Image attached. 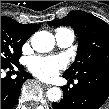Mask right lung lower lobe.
Instances as JSON below:
<instances>
[{
  "label": "right lung lower lobe",
  "instance_id": "98d812e1",
  "mask_svg": "<svg viewBox=\"0 0 109 109\" xmlns=\"http://www.w3.org/2000/svg\"><path fill=\"white\" fill-rule=\"evenodd\" d=\"M15 66L20 70L22 69L20 64ZM1 69L11 70L13 66L1 67ZM29 78H32V76L25 71L17 73L15 79L10 77L1 78V109H12L14 107L20 95L22 83Z\"/></svg>",
  "mask_w": 109,
  "mask_h": 109
}]
</instances>
